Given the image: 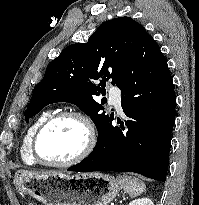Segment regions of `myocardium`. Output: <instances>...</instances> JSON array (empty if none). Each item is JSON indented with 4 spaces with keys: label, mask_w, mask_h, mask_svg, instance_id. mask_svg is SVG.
<instances>
[{
    "label": "myocardium",
    "mask_w": 199,
    "mask_h": 205,
    "mask_svg": "<svg viewBox=\"0 0 199 205\" xmlns=\"http://www.w3.org/2000/svg\"><path fill=\"white\" fill-rule=\"evenodd\" d=\"M63 118H74L83 124L86 130V139H85L84 146L77 155H75L74 157L66 161H62V162L46 161L41 157L38 151L39 137L52 123ZM95 144H96V132L91 120L82 112L75 111V110H66V111L53 113L38 127V129L35 131L31 139V154L35 159V161L41 165L49 166V167H67V166L74 165L82 161L83 159H85L93 151Z\"/></svg>",
    "instance_id": "f54148a6"
}]
</instances>
